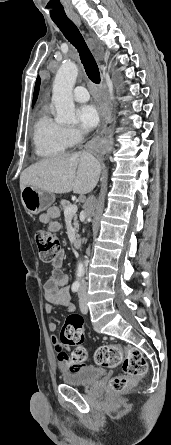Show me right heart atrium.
<instances>
[{
	"label": "right heart atrium",
	"mask_w": 171,
	"mask_h": 445,
	"mask_svg": "<svg viewBox=\"0 0 171 445\" xmlns=\"http://www.w3.org/2000/svg\"><path fill=\"white\" fill-rule=\"evenodd\" d=\"M65 134L70 144L77 143L82 139V133L76 128H65Z\"/></svg>",
	"instance_id": "right-heart-atrium-1"
}]
</instances>
